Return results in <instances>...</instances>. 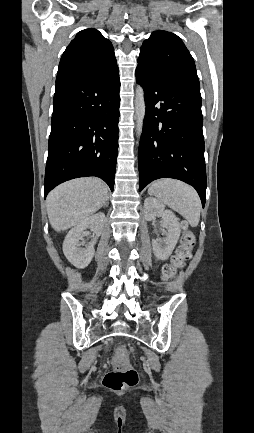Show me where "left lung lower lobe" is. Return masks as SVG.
Wrapping results in <instances>:
<instances>
[{"label":"left lung lower lobe","mask_w":254,"mask_h":433,"mask_svg":"<svg viewBox=\"0 0 254 433\" xmlns=\"http://www.w3.org/2000/svg\"><path fill=\"white\" fill-rule=\"evenodd\" d=\"M146 113L138 150L139 191L159 178L192 185L205 205L207 187L200 89L164 79L138 64Z\"/></svg>","instance_id":"obj_1"}]
</instances>
